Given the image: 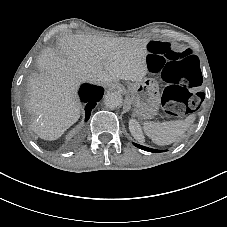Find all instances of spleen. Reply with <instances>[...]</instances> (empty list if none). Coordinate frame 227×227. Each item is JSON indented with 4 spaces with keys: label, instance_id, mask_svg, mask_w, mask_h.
I'll return each mask as SVG.
<instances>
[{
    "label": "spleen",
    "instance_id": "1",
    "mask_svg": "<svg viewBox=\"0 0 227 227\" xmlns=\"http://www.w3.org/2000/svg\"><path fill=\"white\" fill-rule=\"evenodd\" d=\"M195 119V115L191 114L184 120L166 121L163 123L146 122L143 129L155 144L164 146L179 141Z\"/></svg>",
    "mask_w": 227,
    "mask_h": 227
}]
</instances>
